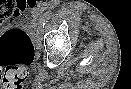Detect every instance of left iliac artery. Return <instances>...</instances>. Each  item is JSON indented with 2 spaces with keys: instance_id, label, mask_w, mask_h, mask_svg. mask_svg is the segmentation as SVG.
Returning <instances> with one entry per match:
<instances>
[{
  "instance_id": "44dca946",
  "label": "left iliac artery",
  "mask_w": 131,
  "mask_h": 89,
  "mask_svg": "<svg viewBox=\"0 0 131 89\" xmlns=\"http://www.w3.org/2000/svg\"><path fill=\"white\" fill-rule=\"evenodd\" d=\"M52 16V11H48L44 14L43 18L40 21V25H45L46 22H48V20L51 18Z\"/></svg>"
}]
</instances>
